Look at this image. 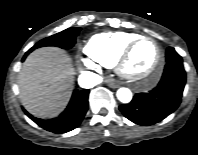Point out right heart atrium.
Wrapping results in <instances>:
<instances>
[{"mask_svg": "<svg viewBox=\"0 0 198 155\" xmlns=\"http://www.w3.org/2000/svg\"><path fill=\"white\" fill-rule=\"evenodd\" d=\"M81 61L86 67H88L90 69H93V70H99V65L94 60H92V59H82Z\"/></svg>", "mask_w": 198, "mask_h": 155, "instance_id": "right-heart-atrium-1", "label": "right heart atrium"}]
</instances>
